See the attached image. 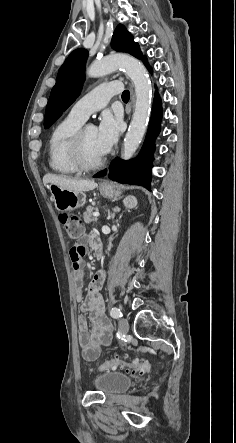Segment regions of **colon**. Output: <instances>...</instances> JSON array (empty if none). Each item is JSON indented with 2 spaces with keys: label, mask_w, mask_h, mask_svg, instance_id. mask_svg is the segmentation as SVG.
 <instances>
[{
  "label": "colon",
  "mask_w": 236,
  "mask_h": 443,
  "mask_svg": "<svg viewBox=\"0 0 236 443\" xmlns=\"http://www.w3.org/2000/svg\"><path fill=\"white\" fill-rule=\"evenodd\" d=\"M59 220L64 227L67 235L71 239H79L83 234V225L80 218L75 214L63 213L59 216ZM84 255V250L80 247H73L71 251V261L74 270H78L81 267L80 260ZM85 359L89 361V356H85ZM117 367H124L129 371L133 372H147L150 369V365L144 361H135L133 363L127 364L126 362L113 359L105 362L99 367L100 372H106L109 370L116 369Z\"/></svg>",
  "instance_id": "colon-1"
}]
</instances>
